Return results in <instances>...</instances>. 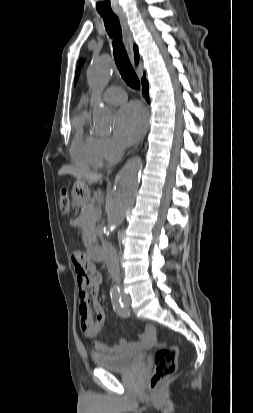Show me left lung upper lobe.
Masks as SVG:
<instances>
[{
  "mask_svg": "<svg viewBox=\"0 0 253 413\" xmlns=\"http://www.w3.org/2000/svg\"><path fill=\"white\" fill-rule=\"evenodd\" d=\"M82 64H83V61L80 60L79 63H78V66H77L76 74H75V83L78 79V76H79V73H80V68H81Z\"/></svg>",
  "mask_w": 253,
  "mask_h": 413,
  "instance_id": "obj_1",
  "label": "left lung upper lobe"
}]
</instances>
